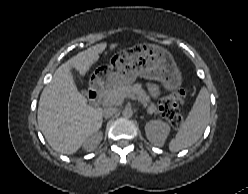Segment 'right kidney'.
Wrapping results in <instances>:
<instances>
[{
	"label": "right kidney",
	"instance_id": "ca27d5eb",
	"mask_svg": "<svg viewBox=\"0 0 248 194\" xmlns=\"http://www.w3.org/2000/svg\"><path fill=\"white\" fill-rule=\"evenodd\" d=\"M102 138V132H97L90 139H88L87 142H85L84 148L89 151L94 149L101 142Z\"/></svg>",
	"mask_w": 248,
	"mask_h": 194
}]
</instances>
